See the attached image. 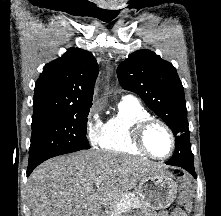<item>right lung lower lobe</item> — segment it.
Here are the masks:
<instances>
[{"label":"right lung lower lobe","mask_w":221,"mask_h":216,"mask_svg":"<svg viewBox=\"0 0 221 216\" xmlns=\"http://www.w3.org/2000/svg\"><path fill=\"white\" fill-rule=\"evenodd\" d=\"M39 164H35V165H29L28 169H27V176H29L31 174V172L34 170L35 167H37Z\"/></svg>","instance_id":"1"}]
</instances>
